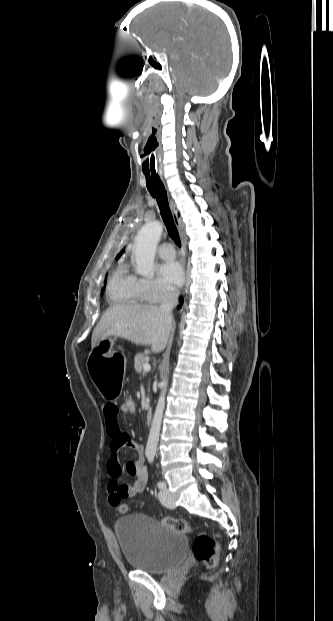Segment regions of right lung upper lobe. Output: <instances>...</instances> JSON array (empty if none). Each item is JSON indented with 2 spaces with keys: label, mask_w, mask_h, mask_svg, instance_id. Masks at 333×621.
I'll list each match as a JSON object with an SVG mask.
<instances>
[{
  "label": "right lung upper lobe",
  "mask_w": 333,
  "mask_h": 621,
  "mask_svg": "<svg viewBox=\"0 0 333 621\" xmlns=\"http://www.w3.org/2000/svg\"><path fill=\"white\" fill-rule=\"evenodd\" d=\"M122 253H123V250L118 254L117 258H119Z\"/></svg>",
  "instance_id": "cb5924a9"
}]
</instances>
